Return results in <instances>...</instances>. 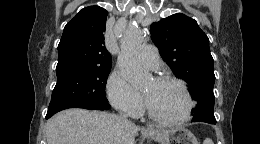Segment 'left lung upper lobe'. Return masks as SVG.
Listing matches in <instances>:
<instances>
[{
    "label": "left lung upper lobe",
    "instance_id": "5c2ea615",
    "mask_svg": "<svg viewBox=\"0 0 260 144\" xmlns=\"http://www.w3.org/2000/svg\"><path fill=\"white\" fill-rule=\"evenodd\" d=\"M150 32L174 75L189 84L190 94L198 103L193 109V121H216L213 112L215 75L206 34L194 19L180 13L153 23Z\"/></svg>",
    "mask_w": 260,
    "mask_h": 144
}]
</instances>
